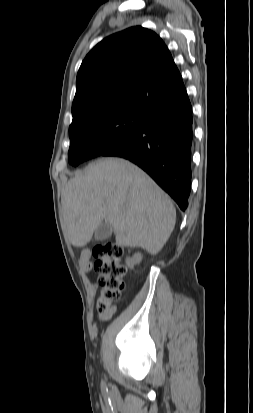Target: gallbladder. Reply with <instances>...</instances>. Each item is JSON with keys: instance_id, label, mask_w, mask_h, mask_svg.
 Wrapping results in <instances>:
<instances>
[{"instance_id": "1", "label": "gallbladder", "mask_w": 253, "mask_h": 413, "mask_svg": "<svg viewBox=\"0 0 253 413\" xmlns=\"http://www.w3.org/2000/svg\"><path fill=\"white\" fill-rule=\"evenodd\" d=\"M113 227L110 223L101 222L98 228L95 231L94 238L97 241H102L107 239L112 235Z\"/></svg>"}]
</instances>
